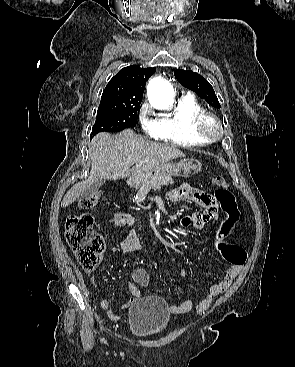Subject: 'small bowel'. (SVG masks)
<instances>
[{
  "label": "small bowel",
  "mask_w": 295,
  "mask_h": 367,
  "mask_svg": "<svg viewBox=\"0 0 295 367\" xmlns=\"http://www.w3.org/2000/svg\"><path fill=\"white\" fill-rule=\"evenodd\" d=\"M172 201H188L193 202L201 206L204 211L200 214L198 209L194 210V213L190 222L198 229H203L212 220L218 217V203L215 197L207 194L192 185L186 183L173 190L170 194ZM109 221L117 227H129L134 224V217L125 212H116ZM121 249L124 252L137 251L142 247V237L138 227L133 228L127 232L120 243ZM197 244H194L196 247ZM192 258V255H189ZM243 265H230L224 272L222 279L211 285L209 291L202 298V300L196 305L195 310L198 314L204 313L211 305L213 299L224 292L232 283L237 274L242 270ZM186 274V269H182L181 276ZM94 286H98V282L93 280ZM127 287L132 294V298L123 304V308L130 307L137 298L141 297V290L139 287H147L149 285V276L146 269L138 267L132 272V279L126 281ZM100 307L106 310L110 319H117L118 314L110 309V302L104 298L100 301ZM193 308V302L191 300H185L180 305H172L169 310L173 313H185Z\"/></svg>",
  "instance_id": "1"
}]
</instances>
